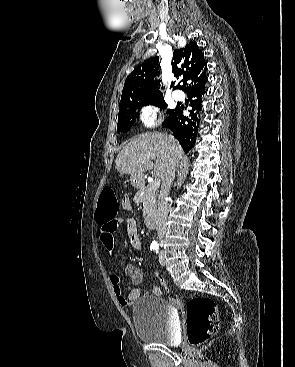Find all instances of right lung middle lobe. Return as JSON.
Listing matches in <instances>:
<instances>
[{"label":"right lung middle lobe","mask_w":295,"mask_h":367,"mask_svg":"<svg viewBox=\"0 0 295 367\" xmlns=\"http://www.w3.org/2000/svg\"><path fill=\"white\" fill-rule=\"evenodd\" d=\"M155 105L160 109L165 108L167 105L163 97H158L147 101H132L125 103L119 108L117 132H127L135 123L136 110L142 106ZM174 109L167 110V114H170Z\"/></svg>","instance_id":"1"}]
</instances>
